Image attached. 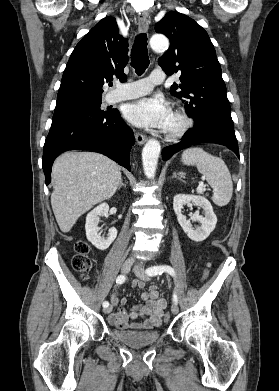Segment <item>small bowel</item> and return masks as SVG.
Listing matches in <instances>:
<instances>
[{"label": "small bowel", "instance_id": "1", "mask_svg": "<svg viewBox=\"0 0 279 391\" xmlns=\"http://www.w3.org/2000/svg\"><path fill=\"white\" fill-rule=\"evenodd\" d=\"M133 286L144 288L145 284L140 280H135ZM144 304L126 309V299H118L117 294L113 293L111 302L113 306L119 305L116 312L109 316V322L118 329H151L157 327L162 322V316L167 301L159 296L155 286L150 287L141 294ZM133 319H143L142 322H130Z\"/></svg>", "mask_w": 279, "mask_h": 391}]
</instances>
